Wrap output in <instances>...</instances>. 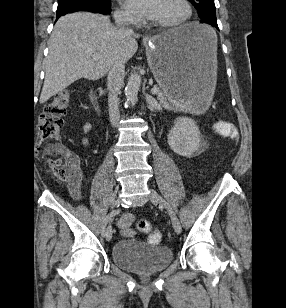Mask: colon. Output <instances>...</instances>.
<instances>
[{
    "instance_id": "obj_1",
    "label": "colon",
    "mask_w": 286,
    "mask_h": 308,
    "mask_svg": "<svg viewBox=\"0 0 286 308\" xmlns=\"http://www.w3.org/2000/svg\"><path fill=\"white\" fill-rule=\"evenodd\" d=\"M69 94L66 92L57 93L45 106L39 116L37 125V145L38 150L49 158L50 167L54 175L62 181L71 179L72 174L64 161V153L57 143L59 132L63 127V117L65 116L69 104ZM217 129L222 134L230 133V124L219 123ZM139 228L143 231H149L150 225L142 220ZM162 236L159 232H152L148 236V242L159 244Z\"/></svg>"
}]
</instances>
